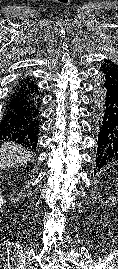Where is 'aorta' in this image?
I'll list each match as a JSON object with an SVG mask.
<instances>
[{
	"label": "aorta",
	"instance_id": "762f6f07",
	"mask_svg": "<svg viewBox=\"0 0 118 269\" xmlns=\"http://www.w3.org/2000/svg\"><path fill=\"white\" fill-rule=\"evenodd\" d=\"M103 83L104 78L102 75L99 74L94 78L93 102H94V108L98 110V113L103 103V88H102Z\"/></svg>",
	"mask_w": 118,
	"mask_h": 269
}]
</instances>
